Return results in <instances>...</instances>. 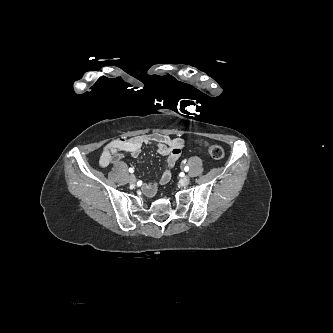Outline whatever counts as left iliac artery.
Returning <instances> with one entry per match:
<instances>
[{
	"mask_svg": "<svg viewBox=\"0 0 333 333\" xmlns=\"http://www.w3.org/2000/svg\"><path fill=\"white\" fill-rule=\"evenodd\" d=\"M184 170L187 172L189 170V166H185Z\"/></svg>",
	"mask_w": 333,
	"mask_h": 333,
	"instance_id": "obj_1",
	"label": "left iliac artery"
}]
</instances>
